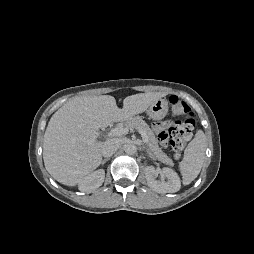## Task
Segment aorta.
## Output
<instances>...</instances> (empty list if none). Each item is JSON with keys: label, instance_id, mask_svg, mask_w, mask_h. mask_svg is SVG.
<instances>
[{"label": "aorta", "instance_id": "aorta-1", "mask_svg": "<svg viewBox=\"0 0 254 254\" xmlns=\"http://www.w3.org/2000/svg\"><path fill=\"white\" fill-rule=\"evenodd\" d=\"M124 149H125V152L129 155H133L137 151V148L134 144H127V145H125Z\"/></svg>", "mask_w": 254, "mask_h": 254}]
</instances>
